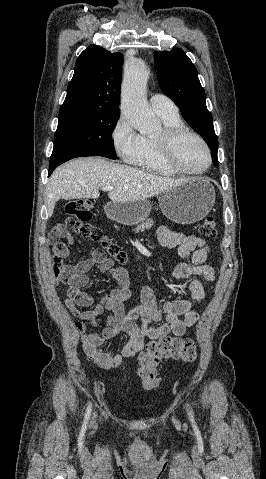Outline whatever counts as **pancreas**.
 Here are the masks:
<instances>
[{
    "mask_svg": "<svg viewBox=\"0 0 266 479\" xmlns=\"http://www.w3.org/2000/svg\"><path fill=\"white\" fill-rule=\"evenodd\" d=\"M153 225V220L152 219H147L145 222H142L141 224L137 225L135 228V231H144L145 229L151 228Z\"/></svg>",
    "mask_w": 266,
    "mask_h": 479,
    "instance_id": "obj_1",
    "label": "pancreas"
}]
</instances>
